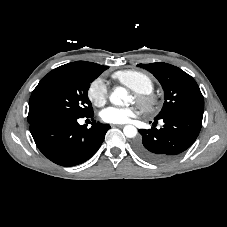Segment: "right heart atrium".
I'll return each instance as SVG.
<instances>
[{
    "label": "right heart atrium",
    "mask_w": 227,
    "mask_h": 227,
    "mask_svg": "<svg viewBox=\"0 0 227 227\" xmlns=\"http://www.w3.org/2000/svg\"><path fill=\"white\" fill-rule=\"evenodd\" d=\"M89 100L96 106H103L108 98V87L102 77L94 79L87 90Z\"/></svg>",
    "instance_id": "d8ad5b80"
}]
</instances>
